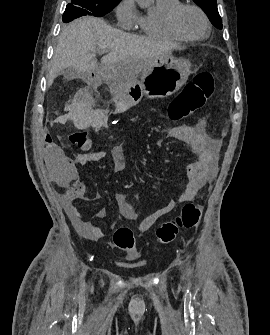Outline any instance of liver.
<instances>
[{
	"instance_id": "obj_1",
	"label": "liver",
	"mask_w": 270,
	"mask_h": 335,
	"mask_svg": "<svg viewBox=\"0 0 270 335\" xmlns=\"http://www.w3.org/2000/svg\"><path fill=\"white\" fill-rule=\"evenodd\" d=\"M101 50H107L110 54L102 58L99 66L96 54ZM170 50L151 38L111 28L101 18L84 16L63 28L49 72V86L58 72L66 68L102 76L109 74L110 70H116L123 80L134 82L147 60L170 54Z\"/></svg>"
}]
</instances>
